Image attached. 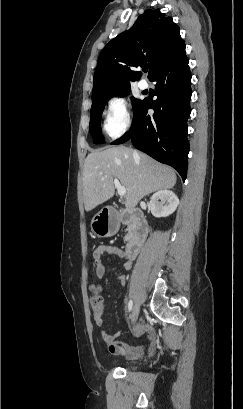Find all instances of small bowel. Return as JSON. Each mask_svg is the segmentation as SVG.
<instances>
[{
    "label": "small bowel",
    "instance_id": "small-bowel-1",
    "mask_svg": "<svg viewBox=\"0 0 243 409\" xmlns=\"http://www.w3.org/2000/svg\"><path fill=\"white\" fill-rule=\"evenodd\" d=\"M107 255L124 259L122 264L124 270H129L132 266L130 258L127 257L126 253L121 248L113 245H99L93 251V262L95 265L96 277L98 279H102L105 274L103 258ZM117 279L121 284H125L126 282L125 275H117ZM104 311V304L101 309L94 310V320L98 327H103L105 324ZM145 334L147 335V342L140 345L117 342L116 339L120 336L119 333L111 335L103 332L102 338L106 342L110 353L125 356L129 360H135L144 355L151 357L157 351V333L146 324L139 325L135 332L136 339L141 338Z\"/></svg>",
    "mask_w": 243,
    "mask_h": 409
}]
</instances>
